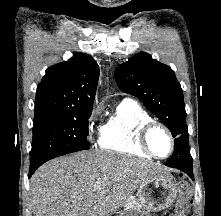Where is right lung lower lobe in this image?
<instances>
[{
    "label": "right lung lower lobe",
    "mask_w": 221,
    "mask_h": 216,
    "mask_svg": "<svg viewBox=\"0 0 221 216\" xmlns=\"http://www.w3.org/2000/svg\"><path fill=\"white\" fill-rule=\"evenodd\" d=\"M40 165H34V166H30V170H29V178L31 177V175L35 172V170L39 167Z\"/></svg>",
    "instance_id": "98d812e1"
}]
</instances>
